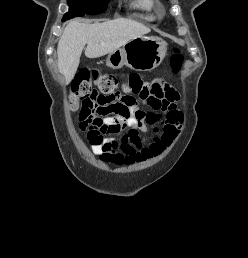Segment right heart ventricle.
Instances as JSON below:
<instances>
[{
  "mask_svg": "<svg viewBox=\"0 0 248 258\" xmlns=\"http://www.w3.org/2000/svg\"><path fill=\"white\" fill-rule=\"evenodd\" d=\"M131 7L143 13L148 20H153L157 12L155 0H132Z\"/></svg>",
  "mask_w": 248,
  "mask_h": 258,
  "instance_id": "e07e8e85",
  "label": "right heart ventricle"
}]
</instances>
